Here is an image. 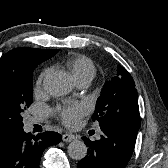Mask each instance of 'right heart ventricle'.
<instances>
[{"label": "right heart ventricle", "instance_id": "right-heart-ventricle-1", "mask_svg": "<svg viewBox=\"0 0 168 168\" xmlns=\"http://www.w3.org/2000/svg\"><path fill=\"white\" fill-rule=\"evenodd\" d=\"M64 65L75 82L83 79L92 80L96 74V67L93 61L84 55L69 56L64 61Z\"/></svg>", "mask_w": 168, "mask_h": 168}]
</instances>
